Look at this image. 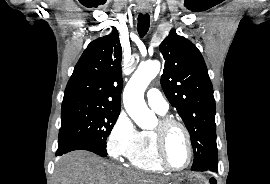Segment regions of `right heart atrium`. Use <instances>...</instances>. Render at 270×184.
<instances>
[{"mask_svg": "<svg viewBox=\"0 0 270 184\" xmlns=\"http://www.w3.org/2000/svg\"><path fill=\"white\" fill-rule=\"evenodd\" d=\"M139 134L132 119L125 112H120L106 139L107 153L117 160L128 158L136 146Z\"/></svg>", "mask_w": 270, "mask_h": 184, "instance_id": "obj_1", "label": "right heart atrium"}]
</instances>
